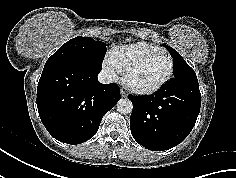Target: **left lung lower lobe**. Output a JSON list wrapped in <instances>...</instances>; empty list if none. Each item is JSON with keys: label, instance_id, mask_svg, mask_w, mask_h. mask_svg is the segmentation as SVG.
Here are the masks:
<instances>
[{"label": "left lung lower lobe", "instance_id": "left-lung-lower-lobe-1", "mask_svg": "<svg viewBox=\"0 0 236 178\" xmlns=\"http://www.w3.org/2000/svg\"><path fill=\"white\" fill-rule=\"evenodd\" d=\"M129 99L133 104L132 136L152 151L180 144L194 127L201 106L197 79L173 78L153 95Z\"/></svg>", "mask_w": 236, "mask_h": 178}]
</instances>
